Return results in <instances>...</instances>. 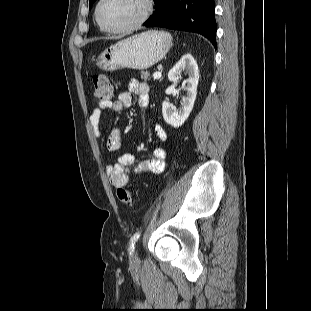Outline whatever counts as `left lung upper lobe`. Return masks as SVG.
Returning <instances> with one entry per match:
<instances>
[{"label":"left lung upper lobe","mask_w":311,"mask_h":311,"mask_svg":"<svg viewBox=\"0 0 311 311\" xmlns=\"http://www.w3.org/2000/svg\"><path fill=\"white\" fill-rule=\"evenodd\" d=\"M95 1H96V0H90V2H89V8L92 7V5H93V3H94Z\"/></svg>","instance_id":"left-lung-upper-lobe-1"}]
</instances>
